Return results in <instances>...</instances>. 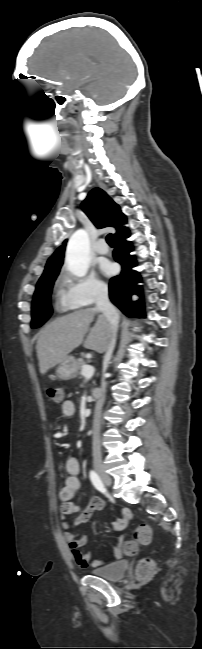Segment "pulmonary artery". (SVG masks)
<instances>
[{
    "instance_id": "e3ab8cb5",
    "label": "pulmonary artery",
    "mask_w": 202,
    "mask_h": 649,
    "mask_svg": "<svg viewBox=\"0 0 202 649\" xmlns=\"http://www.w3.org/2000/svg\"><path fill=\"white\" fill-rule=\"evenodd\" d=\"M95 251L100 254V255H105L108 253L109 248L107 244L105 243L104 239H100L96 246H95Z\"/></svg>"
}]
</instances>
